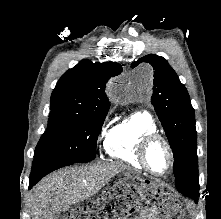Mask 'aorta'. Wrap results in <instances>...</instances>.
I'll list each match as a JSON object with an SVG mask.
<instances>
[{"mask_svg":"<svg viewBox=\"0 0 221 219\" xmlns=\"http://www.w3.org/2000/svg\"><path fill=\"white\" fill-rule=\"evenodd\" d=\"M153 72L150 68L142 67L135 73V80L141 86H149L152 82Z\"/></svg>","mask_w":221,"mask_h":219,"instance_id":"aorta-1","label":"aorta"}]
</instances>
